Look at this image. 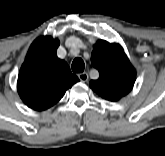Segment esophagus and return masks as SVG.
Here are the masks:
<instances>
[{"label": "esophagus", "instance_id": "34e87169", "mask_svg": "<svg viewBox=\"0 0 165 156\" xmlns=\"http://www.w3.org/2000/svg\"><path fill=\"white\" fill-rule=\"evenodd\" d=\"M78 78L80 79V81L86 82L89 77L86 72H83V73L78 74Z\"/></svg>", "mask_w": 165, "mask_h": 156}]
</instances>
